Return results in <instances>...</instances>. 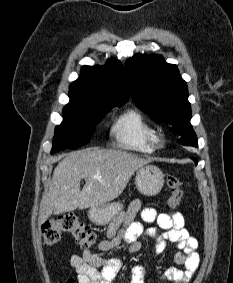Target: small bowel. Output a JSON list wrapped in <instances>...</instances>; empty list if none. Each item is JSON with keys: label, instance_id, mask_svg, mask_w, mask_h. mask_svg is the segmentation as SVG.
I'll use <instances>...</instances> for the list:
<instances>
[{"label": "small bowel", "instance_id": "1", "mask_svg": "<svg viewBox=\"0 0 233 283\" xmlns=\"http://www.w3.org/2000/svg\"><path fill=\"white\" fill-rule=\"evenodd\" d=\"M140 213L143 221L156 222L157 228L144 229L139 221H135ZM185 220L180 212L159 213L153 208H141L140 200L131 202L123 212L109 226L106 232L107 238L98 243L100 251H110L121 243L128 246L129 253L139 251L146 238L156 242L155 252L161 254L166 248L167 242L177 245L178 252L175 262L184 266V270L168 268L163 275L165 281L187 283L199 266L200 258L197 253L198 241L190 236L184 227ZM70 264L77 274L78 283H112L120 268L118 258L106 259L84 249L81 254H74L70 258ZM142 266L135 265L131 269V275L127 283H143Z\"/></svg>", "mask_w": 233, "mask_h": 283}]
</instances>
